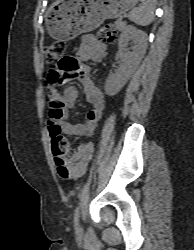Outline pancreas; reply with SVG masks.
<instances>
[{"label": "pancreas", "mask_w": 194, "mask_h": 250, "mask_svg": "<svg viewBox=\"0 0 194 250\" xmlns=\"http://www.w3.org/2000/svg\"><path fill=\"white\" fill-rule=\"evenodd\" d=\"M125 25V22H123L121 19L115 21V28L119 31L123 30L125 28Z\"/></svg>", "instance_id": "pancreas-1"}]
</instances>
